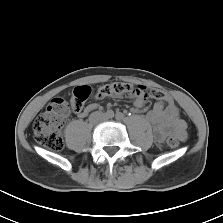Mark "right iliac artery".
Wrapping results in <instances>:
<instances>
[{"instance_id": "right-iliac-artery-1", "label": "right iliac artery", "mask_w": 223, "mask_h": 223, "mask_svg": "<svg viewBox=\"0 0 223 223\" xmlns=\"http://www.w3.org/2000/svg\"><path fill=\"white\" fill-rule=\"evenodd\" d=\"M107 117L112 118L114 116V112L112 110H108L106 112Z\"/></svg>"}]
</instances>
